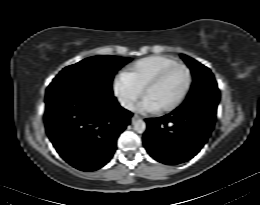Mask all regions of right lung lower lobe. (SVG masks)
Listing matches in <instances>:
<instances>
[{
	"instance_id": "obj_1",
	"label": "right lung lower lobe",
	"mask_w": 260,
	"mask_h": 205,
	"mask_svg": "<svg viewBox=\"0 0 260 205\" xmlns=\"http://www.w3.org/2000/svg\"><path fill=\"white\" fill-rule=\"evenodd\" d=\"M45 102L49 139L66 162L82 171L97 170L112 158L132 116L114 96L76 84H50Z\"/></svg>"
}]
</instances>
